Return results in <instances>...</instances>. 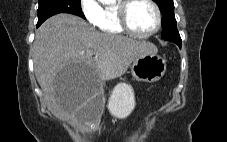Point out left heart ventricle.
<instances>
[{
	"instance_id": "left-heart-ventricle-1",
	"label": "left heart ventricle",
	"mask_w": 227,
	"mask_h": 142,
	"mask_svg": "<svg viewBox=\"0 0 227 142\" xmlns=\"http://www.w3.org/2000/svg\"><path fill=\"white\" fill-rule=\"evenodd\" d=\"M129 21L134 30L147 33L156 26V12L146 0H136L130 7Z\"/></svg>"
}]
</instances>
